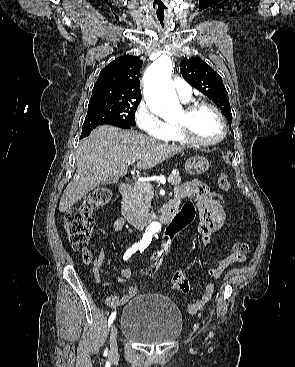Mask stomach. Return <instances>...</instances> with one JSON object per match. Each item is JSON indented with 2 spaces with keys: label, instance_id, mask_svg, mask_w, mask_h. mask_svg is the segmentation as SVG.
<instances>
[{
  "label": "stomach",
  "instance_id": "1",
  "mask_svg": "<svg viewBox=\"0 0 295 367\" xmlns=\"http://www.w3.org/2000/svg\"><path fill=\"white\" fill-rule=\"evenodd\" d=\"M209 169V161L202 156H193L185 163V170L191 175H200Z\"/></svg>",
  "mask_w": 295,
  "mask_h": 367
}]
</instances>
